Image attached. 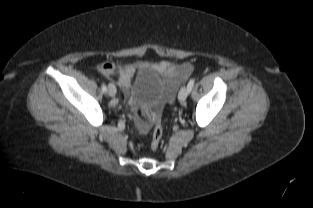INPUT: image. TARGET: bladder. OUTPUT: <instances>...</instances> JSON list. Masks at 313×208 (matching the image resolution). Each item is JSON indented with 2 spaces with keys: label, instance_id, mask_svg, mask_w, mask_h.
I'll use <instances>...</instances> for the list:
<instances>
[{
  "label": "bladder",
  "instance_id": "1",
  "mask_svg": "<svg viewBox=\"0 0 313 208\" xmlns=\"http://www.w3.org/2000/svg\"><path fill=\"white\" fill-rule=\"evenodd\" d=\"M168 95V83L157 73H141L131 88L130 97L133 103L161 109Z\"/></svg>",
  "mask_w": 313,
  "mask_h": 208
}]
</instances>
